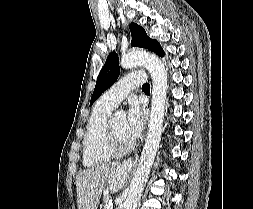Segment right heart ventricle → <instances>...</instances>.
<instances>
[{
    "mask_svg": "<svg viewBox=\"0 0 253 209\" xmlns=\"http://www.w3.org/2000/svg\"><path fill=\"white\" fill-rule=\"evenodd\" d=\"M113 108L99 99L92 110L83 139V164L86 167L101 165L114 157L105 144L106 125Z\"/></svg>",
    "mask_w": 253,
    "mask_h": 209,
    "instance_id": "1",
    "label": "right heart ventricle"
}]
</instances>
